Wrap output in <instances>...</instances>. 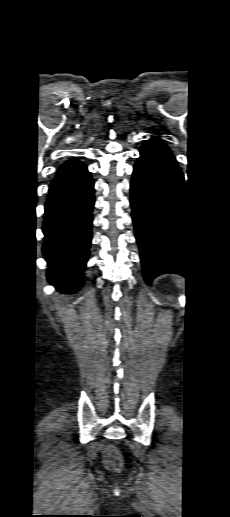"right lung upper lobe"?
Here are the masks:
<instances>
[{
    "label": "right lung upper lobe",
    "instance_id": "obj_1",
    "mask_svg": "<svg viewBox=\"0 0 230 517\" xmlns=\"http://www.w3.org/2000/svg\"><path fill=\"white\" fill-rule=\"evenodd\" d=\"M80 163L77 160H69L67 163H65L57 172V174L62 173L70 168H73Z\"/></svg>",
    "mask_w": 230,
    "mask_h": 517
}]
</instances>
